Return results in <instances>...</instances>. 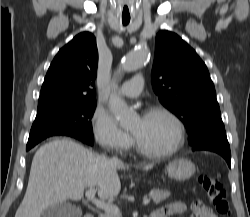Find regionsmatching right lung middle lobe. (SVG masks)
<instances>
[{
    "mask_svg": "<svg viewBox=\"0 0 250 217\" xmlns=\"http://www.w3.org/2000/svg\"><path fill=\"white\" fill-rule=\"evenodd\" d=\"M95 105V101L80 102L50 110L37 111L26 150L55 135L70 136L93 145L91 118L95 111Z\"/></svg>",
    "mask_w": 250,
    "mask_h": 217,
    "instance_id": "right-lung-middle-lobe-1",
    "label": "right lung middle lobe"
}]
</instances>
